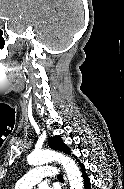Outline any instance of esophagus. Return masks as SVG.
I'll use <instances>...</instances> for the list:
<instances>
[{"label": "esophagus", "instance_id": "1", "mask_svg": "<svg viewBox=\"0 0 124 189\" xmlns=\"http://www.w3.org/2000/svg\"><path fill=\"white\" fill-rule=\"evenodd\" d=\"M64 180H65V185H67V178L65 175H64Z\"/></svg>", "mask_w": 124, "mask_h": 189}]
</instances>
